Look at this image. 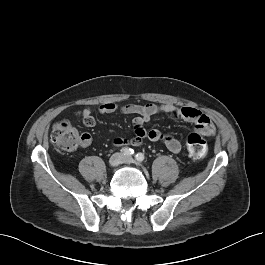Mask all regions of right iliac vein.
I'll list each match as a JSON object with an SVG mask.
<instances>
[{
  "label": "right iliac vein",
  "mask_w": 265,
  "mask_h": 265,
  "mask_svg": "<svg viewBox=\"0 0 265 265\" xmlns=\"http://www.w3.org/2000/svg\"><path fill=\"white\" fill-rule=\"evenodd\" d=\"M123 156L120 153L113 154L109 159V165L115 167L121 163Z\"/></svg>",
  "instance_id": "1"
}]
</instances>
